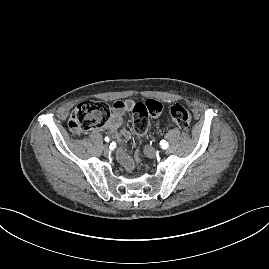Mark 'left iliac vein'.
Wrapping results in <instances>:
<instances>
[{
	"label": "left iliac vein",
	"instance_id": "4c4485c4",
	"mask_svg": "<svg viewBox=\"0 0 269 269\" xmlns=\"http://www.w3.org/2000/svg\"><path fill=\"white\" fill-rule=\"evenodd\" d=\"M144 154L148 157H153V158L156 157L157 155L155 150L152 147H146L144 149Z\"/></svg>",
	"mask_w": 269,
	"mask_h": 269
}]
</instances>
